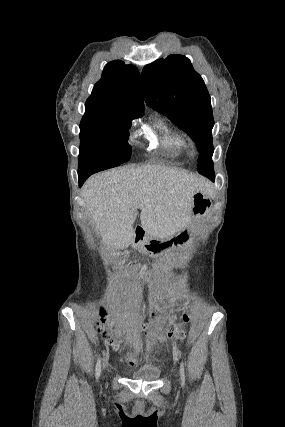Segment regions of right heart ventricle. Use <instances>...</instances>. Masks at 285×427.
Listing matches in <instances>:
<instances>
[{
	"label": "right heart ventricle",
	"mask_w": 285,
	"mask_h": 427,
	"mask_svg": "<svg viewBox=\"0 0 285 427\" xmlns=\"http://www.w3.org/2000/svg\"><path fill=\"white\" fill-rule=\"evenodd\" d=\"M160 143L165 149L175 153L187 146V140L181 133L167 128L162 130Z\"/></svg>",
	"instance_id": "obj_1"
}]
</instances>
